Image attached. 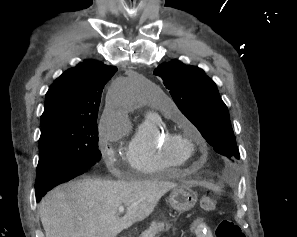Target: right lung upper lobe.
I'll return each instance as SVG.
<instances>
[{
    "label": "right lung upper lobe",
    "instance_id": "1",
    "mask_svg": "<svg viewBox=\"0 0 297 237\" xmlns=\"http://www.w3.org/2000/svg\"><path fill=\"white\" fill-rule=\"evenodd\" d=\"M117 71L95 60L64 72L45 95L41 124L56 119H97L104 85Z\"/></svg>",
    "mask_w": 297,
    "mask_h": 237
}]
</instances>
